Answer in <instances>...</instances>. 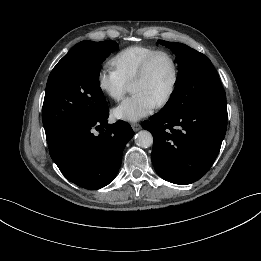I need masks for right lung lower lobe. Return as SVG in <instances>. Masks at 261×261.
Returning <instances> with one entry per match:
<instances>
[{"mask_svg":"<svg viewBox=\"0 0 261 261\" xmlns=\"http://www.w3.org/2000/svg\"><path fill=\"white\" fill-rule=\"evenodd\" d=\"M109 111L88 124L75 125L48 142L50 156L63 175L86 189H100L116 176L122 153L133 137L131 126L108 124ZM105 127V130L104 128ZM94 129L100 135L93 134Z\"/></svg>","mask_w":261,"mask_h":261,"instance_id":"obj_1","label":"right lung lower lobe"}]
</instances>
